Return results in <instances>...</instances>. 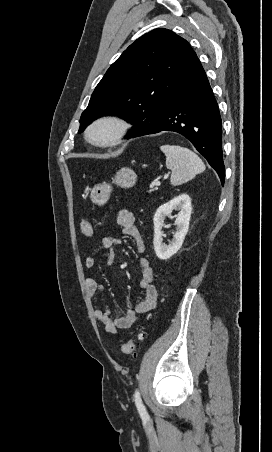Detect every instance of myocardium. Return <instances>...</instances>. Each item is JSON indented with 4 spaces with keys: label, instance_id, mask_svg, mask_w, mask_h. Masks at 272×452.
I'll use <instances>...</instances> for the list:
<instances>
[{
    "label": "myocardium",
    "instance_id": "1",
    "mask_svg": "<svg viewBox=\"0 0 272 452\" xmlns=\"http://www.w3.org/2000/svg\"><path fill=\"white\" fill-rule=\"evenodd\" d=\"M106 128L108 134L103 139L95 138L99 129ZM128 131V123L125 119L117 115H102L94 119L85 130L86 140L98 147H109L117 145L122 141Z\"/></svg>",
    "mask_w": 272,
    "mask_h": 452
}]
</instances>
